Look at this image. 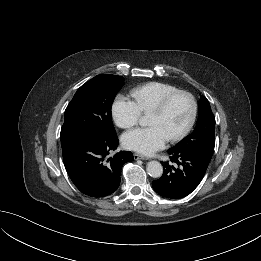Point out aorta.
<instances>
[{
  "instance_id": "1",
  "label": "aorta",
  "mask_w": 261,
  "mask_h": 261,
  "mask_svg": "<svg viewBox=\"0 0 261 261\" xmlns=\"http://www.w3.org/2000/svg\"><path fill=\"white\" fill-rule=\"evenodd\" d=\"M147 173L153 178H159L163 174V167L158 161H150L147 163Z\"/></svg>"
}]
</instances>
